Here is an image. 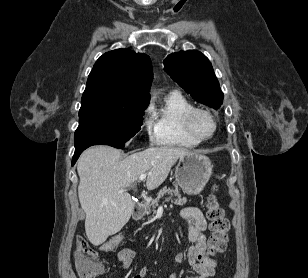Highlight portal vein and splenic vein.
I'll return each instance as SVG.
<instances>
[{"mask_svg":"<svg viewBox=\"0 0 308 278\" xmlns=\"http://www.w3.org/2000/svg\"><path fill=\"white\" fill-rule=\"evenodd\" d=\"M147 173H142L140 176H139V180L140 181H143V180H145L146 179V177H147ZM124 192V190H119L118 191V193H123Z\"/></svg>","mask_w":308,"mask_h":278,"instance_id":"obj_1","label":"portal vein and splenic vein"}]
</instances>
